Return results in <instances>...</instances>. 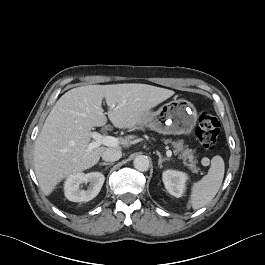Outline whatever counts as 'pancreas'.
Returning <instances> with one entry per match:
<instances>
[{
    "label": "pancreas",
    "mask_w": 265,
    "mask_h": 265,
    "mask_svg": "<svg viewBox=\"0 0 265 265\" xmlns=\"http://www.w3.org/2000/svg\"><path fill=\"white\" fill-rule=\"evenodd\" d=\"M170 142L172 143V146L174 148V154L178 155L179 159H182L184 165L188 166V168H190L192 172L197 173L199 169L195 165L196 160L193 155L194 151L192 149H189L187 145H184L182 140H179L178 142H172L171 140L165 141V143Z\"/></svg>",
    "instance_id": "obj_1"
}]
</instances>
